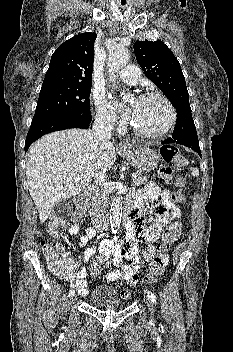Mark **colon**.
I'll return each mask as SVG.
<instances>
[{
	"label": "colon",
	"mask_w": 233,
	"mask_h": 352,
	"mask_svg": "<svg viewBox=\"0 0 233 352\" xmlns=\"http://www.w3.org/2000/svg\"><path fill=\"white\" fill-rule=\"evenodd\" d=\"M160 155L165 163L159 169V178L162 182L170 184L173 181V172L172 167L180 169L187 164L186 158L179 152L178 148L173 145H164L160 149ZM176 198L179 201H182V195L179 193L176 195ZM84 209L82 201L77 202V207L73 214V218L80 216ZM66 221L58 216L53 215L47 224V230L50 236H55L59 227L65 226ZM182 224L179 221L172 222L169 224L162 235L161 243L158 245L159 255L155 257L147 271L146 280L151 283L154 282L164 270V256L168 252L170 245L177 241L181 235ZM42 252L49 262L50 271L59 276L63 277L69 274L73 267L67 261L66 258L62 257V248L55 241H43L42 242ZM110 257L105 254L97 255L89 265V272L92 276L98 275L103 269L109 267ZM123 295H126V292H122Z\"/></svg>",
	"instance_id": "colon-1"
}]
</instances>
